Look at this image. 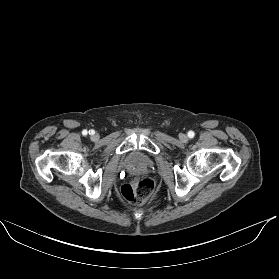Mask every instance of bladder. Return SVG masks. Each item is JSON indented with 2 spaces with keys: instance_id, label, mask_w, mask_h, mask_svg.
<instances>
[{
  "instance_id": "obj_1",
  "label": "bladder",
  "mask_w": 279,
  "mask_h": 279,
  "mask_svg": "<svg viewBox=\"0 0 279 279\" xmlns=\"http://www.w3.org/2000/svg\"><path fill=\"white\" fill-rule=\"evenodd\" d=\"M125 163L130 169H145L151 165V159L142 152L133 151L128 154Z\"/></svg>"
}]
</instances>
